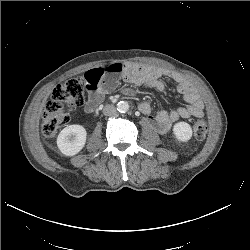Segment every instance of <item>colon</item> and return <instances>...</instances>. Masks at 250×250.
I'll return each instance as SVG.
<instances>
[{"instance_id":"1","label":"colon","mask_w":250,"mask_h":250,"mask_svg":"<svg viewBox=\"0 0 250 250\" xmlns=\"http://www.w3.org/2000/svg\"><path fill=\"white\" fill-rule=\"evenodd\" d=\"M86 81L75 77L57 85L49 97L43 111L42 131L53 136L59 127L67 124L71 113L85 103ZM193 135L198 140L205 139L208 125L204 120H195L192 124Z\"/></svg>"}]
</instances>
